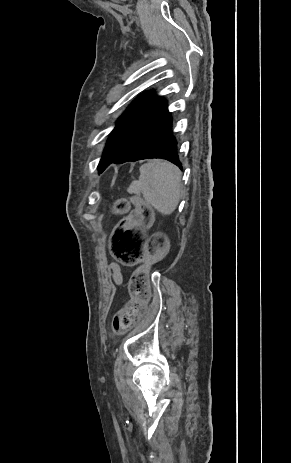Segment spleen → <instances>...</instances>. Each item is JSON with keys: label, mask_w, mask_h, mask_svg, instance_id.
Wrapping results in <instances>:
<instances>
[{"label": "spleen", "mask_w": 291, "mask_h": 463, "mask_svg": "<svg viewBox=\"0 0 291 463\" xmlns=\"http://www.w3.org/2000/svg\"><path fill=\"white\" fill-rule=\"evenodd\" d=\"M127 192L142 195L159 213L170 215L179 203L181 172L169 162L149 161L140 167L139 179L131 182Z\"/></svg>", "instance_id": "obj_1"}]
</instances>
